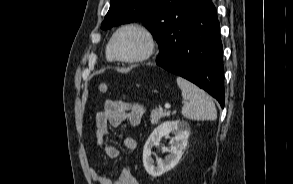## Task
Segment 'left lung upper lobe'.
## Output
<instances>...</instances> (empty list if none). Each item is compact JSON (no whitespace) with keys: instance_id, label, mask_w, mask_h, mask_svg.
Returning a JSON list of instances; mask_svg holds the SVG:
<instances>
[{"instance_id":"obj_1","label":"left lung upper lobe","mask_w":293,"mask_h":184,"mask_svg":"<svg viewBox=\"0 0 293 184\" xmlns=\"http://www.w3.org/2000/svg\"><path fill=\"white\" fill-rule=\"evenodd\" d=\"M181 0H111L101 29H110L125 22L141 21L150 30L163 50L172 10Z\"/></svg>"}]
</instances>
